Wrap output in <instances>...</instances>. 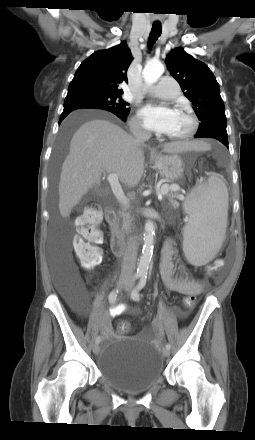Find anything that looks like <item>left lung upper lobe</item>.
<instances>
[{
    "instance_id": "obj_1",
    "label": "left lung upper lobe",
    "mask_w": 255,
    "mask_h": 440,
    "mask_svg": "<svg viewBox=\"0 0 255 440\" xmlns=\"http://www.w3.org/2000/svg\"><path fill=\"white\" fill-rule=\"evenodd\" d=\"M165 62L185 96L193 103V109L201 121L196 135L227 136L225 107L219 84L208 66L187 54L183 48L173 49Z\"/></svg>"
}]
</instances>
